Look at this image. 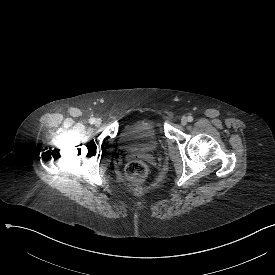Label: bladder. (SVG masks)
Instances as JSON below:
<instances>
[{
    "label": "bladder",
    "mask_w": 275,
    "mask_h": 275,
    "mask_svg": "<svg viewBox=\"0 0 275 275\" xmlns=\"http://www.w3.org/2000/svg\"><path fill=\"white\" fill-rule=\"evenodd\" d=\"M161 140L155 121L146 116L128 121L117 135L119 150L136 155L156 152L161 145Z\"/></svg>",
    "instance_id": "1"
}]
</instances>
